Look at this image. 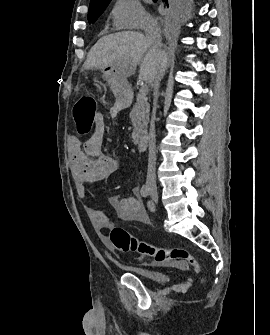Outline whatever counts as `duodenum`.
Masks as SVG:
<instances>
[{
    "label": "duodenum",
    "mask_w": 270,
    "mask_h": 335,
    "mask_svg": "<svg viewBox=\"0 0 270 335\" xmlns=\"http://www.w3.org/2000/svg\"><path fill=\"white\" fill-rule=\"evenodd\" d=\"M123 102L125 104L128 102V97L126 95L123 96ZM135 144L139 151L141 152L145 151L148 145L146 136H138L135 140Z\"/></svg>",
    "instance_id": "410a0bca"
}]
</instances>
